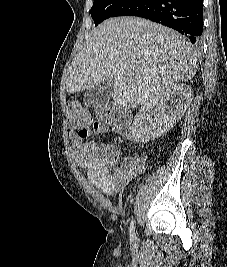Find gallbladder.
<instances>
[{
	"label": "gallbladder",
	"instance_id": "obj_1",
	"mask_svg": "<svg viewBox=\"0 0 227 267\" xmlns=\"http://www.w3.org/2000/svg\"><path fill=\"white\" fill-rule=\"evenodd\" d=\"M113 93V84L103 82L88 89L84 94V105L92 108H102L108 103Z\"/></svg>",
	"mask_w": 227,
	"mask_h": 267
}]
</instances>
